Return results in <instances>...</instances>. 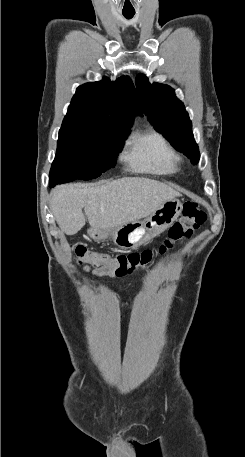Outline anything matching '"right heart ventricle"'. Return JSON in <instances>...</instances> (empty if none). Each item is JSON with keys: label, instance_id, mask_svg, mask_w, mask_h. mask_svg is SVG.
<instances>
[{"label": "right heart ventricle", "instance_id": "right-heart-ventricle-1", "mask_svg": "<svg viewBox=\"0 0 245 457\" xmlns=\"http://www.w3.org/2000/svg\"><path fill=\"white\" fill-rule=\"evenodd\" d=\"M131 163L144 171L168 174L177 169L178 157L162 133L151 127H136L127 140Z\"/></svg>", "mask_w": 245, "mask_h": 457}]
</instances>
